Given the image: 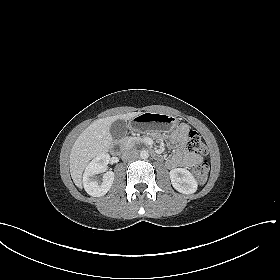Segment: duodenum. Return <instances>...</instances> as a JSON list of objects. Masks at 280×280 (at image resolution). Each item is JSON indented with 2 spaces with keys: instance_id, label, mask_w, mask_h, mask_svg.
Masks as SVG:
<instances>
[{
  "instance_id": "duodenum-1",
  "label": "duodenum",
  "mask_w": 280,
  "mask_h": 280,
  "mask_svg": "<svg viewBox=\"0 0 280 280\" xmlns=\"http://www.w3.org/2000/svg\"><path fill=\"white\" fill-rule=\"evenodd\" d=\"M115 148L119 151L125 150V148H126L125 142L122 141V142L116 143ZM151 156L156 160H161L162 159L161 154L157 153V152H152Z\"/></svg>"
}]
</instances>
